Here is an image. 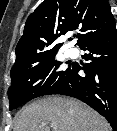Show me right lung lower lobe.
<instances>
[{"label": "right lung lower lobe", "mask_w": 117, "mask_h": 131, "mask_svg": "<svg viewBox=\"0 0 117 131\" xmlns=\"http://www.w3.org/2000/svg\"><path fill=\"white\" fill-rule=\"evenodd\" d=\"M80 48L89 63L80 66L73 63L61 87L52 94L77 98L104 116L117 131V30L93 39ZM83 70L85 75L78 72Z\"/></svg>", "instance_id": "98d812e1"}]
</instances>
